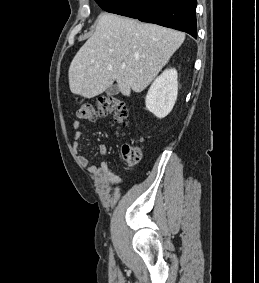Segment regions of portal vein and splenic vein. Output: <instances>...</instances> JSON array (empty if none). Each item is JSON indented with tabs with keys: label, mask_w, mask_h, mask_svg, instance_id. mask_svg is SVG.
<instances>
[{
	"label": "portal vein and splenic vein",
	"mask_w": 259,
	"mask_h": 283,
	"mask_svg": "<svg viewBox=\"0 0 259 283\" xmlns=\"http://www.w3.org/2000/svg\"><path fill=\"white\" fill-rule=\"evenodd\" d=\"M121 67H122V68H125V67H126V64L123 63V64L121 65Z\"/></svg>",
	"instance_id": "1"
}]
</instances>
